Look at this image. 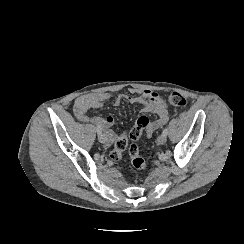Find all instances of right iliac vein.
<instances>
[{
	"mask_svg": "<svg viewBox=\"0 0 244 244\" xmlns=\"http://www.w3.org/2000/svg\"><path fill=\"white\" fill-rule=\"evenodd\" d=\"M98 139L101 143H106L107 142V136L104 133H101L98 135Z\"/></svg>",
	"mask_w": 244,
	"mask_h": 244,
	"instance_id": "63e3f726",
	"label": "right iliac vein"
}]
</instances>
